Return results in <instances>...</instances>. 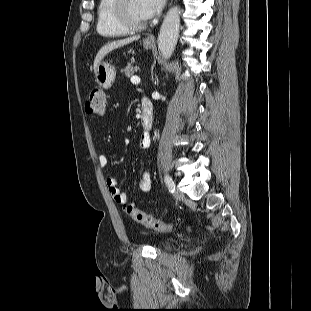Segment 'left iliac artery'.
Here are the masks:
<instances>
[{"label":"left iliac artery","mask_w":311,"mask_h":311,"mask_svg":"<svg viewBox=\"0 0 311 311\" xmlns=\"http://www.w3.org/2000/svg\"><path fill=\"white\" fill-rule=\"evenodd\" d=\"M164 181H165L167 187L169 188L170 192L173 193L175 191V184H174L172 178L169 175H166L164 177Z\"/></svg>","instance_id":"obj_1"}]
</instances>
